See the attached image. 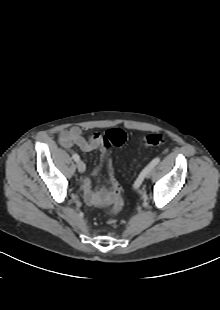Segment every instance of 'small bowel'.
<instances>
[{"instance_id": "obj_1", "label": "small bowel", "mask_w": 220, "mask_h": 310, "mask_svg": "<svg viewBox=\"0 0 220 310\" xmlns=\"http://www.w3.org/2000/svg\"><path fill=\"white\" fill-rule=\"evenodd\" d=\"M59 143L66 149L77 146L84 153L99 150L101 152V164L105 161V151L100 133L95 132L85 136L81 128L73 126L60 133ZM101 164L92 171V176L99 174ZM81 188L85 201L97 207L103 206L110 196L108 190L105 188H100L99 190L93 189L91 178L88 176L82 179Z\"/></svg>"}]
</instances>
